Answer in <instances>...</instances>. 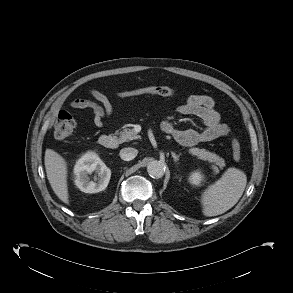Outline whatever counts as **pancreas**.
<instances>
[{
	"mask_svg": "<svg viewBox=\"0 0 293 293\" xmlns=\"http://www.w3.org/2000/svg\"><path fill=\"white\" fill-rule=\"evenodd\" d=\"M138 138H140V136L135 132L134 129L125 128L120 132L121 142H128ZM189 153L193 156H196L198 159L211 163V169L213 170L214 174H217L219 172L218 167L222 168L225 165V161L222 157L206 149L190 148Z\"/></svg>",
	"mask_w": 293,
	"mask_h": 293,
	"instance_id": "cf45deb5",
	"label": "pancreas"
}]
</instances>
